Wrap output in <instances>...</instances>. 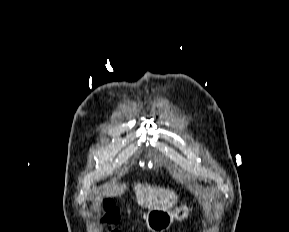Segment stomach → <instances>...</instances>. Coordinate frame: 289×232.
<instances>
[{
  "label": "stomach",
  "instance_id": "1",
  "mask_svg": "<svg viewBox=\"0 0 289 232\" xmlns=\"http://www.w3.org/2000/svg\"><path fill=\"white\" fill-rule=\"evenodd\" d=\"M190 212V207L184 203L171 209H149L144 219L151 232H164L169 229L175 219L182 221L188 218Z\"/></svg>",
  "mask_w": 289,
  "mask_h": 232
}]
</instances>
